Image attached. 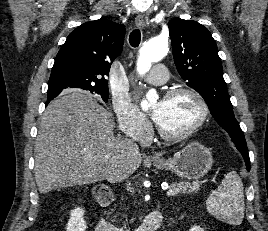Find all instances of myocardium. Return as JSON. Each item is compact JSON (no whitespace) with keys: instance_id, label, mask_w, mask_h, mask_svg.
<instances>
[{"instance_id":"f54148a6","label":"myocardium","mask_w":268,"mask_h":231,"mask_svg":"<svg viewBox=\"0 0 268 231\" xmlns=\"http://www.w3.org/2000/svg\"><path fill=\"white\" fill-rule=\"evenodd\" d=\"M180 94H187L191 96L199 107V115L197 120L188 129L180 133H168L157 122L155 123L156 131L158 135L167 141H180L192 136L197 132L206 122L209 108L204 97L195 89L187 86H177L168 90L164 96V99H170Z\"/></svg>"}]
</instances>
